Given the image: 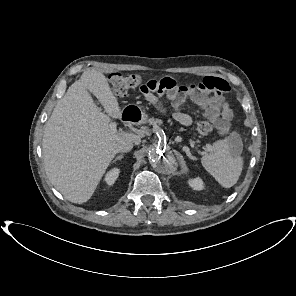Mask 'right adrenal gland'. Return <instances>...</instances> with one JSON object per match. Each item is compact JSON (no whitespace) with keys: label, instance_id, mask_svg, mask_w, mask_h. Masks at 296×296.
<instances>
[{"label":"right adrenal gland","instance_id":"right-adrenal-gland-1","mask_svg":"<svg viewBox=\"0 0 296 296\" xmlns=\"http://www.w3.org/2000/svg\"><path fill=\"white\" fill-rule=\"evenodd\" d=\"M123 156H124V154H119V155H117V156L113 159L112 163H115L116 161L121 160V159L123 158Z\"/></svg>","mask_w":296,"mask_h":296}]
</instances>
